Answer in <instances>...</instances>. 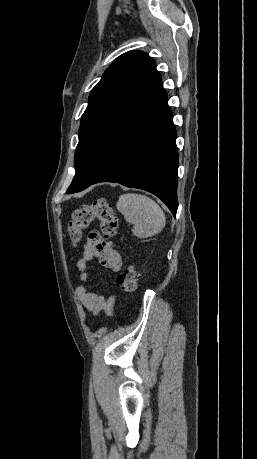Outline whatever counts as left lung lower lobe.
I'll return each mask as SVG.
<instances>
[{"mask_svg": "<svg viewBox=\"0 0 257 459\" xmlns=\"http://www.w3.org/2000/svg\"><path fill=\"white\" fill-rule=\"evenodd\" d=\"M176 130L158 73L105 141L101 168L91 183L117 182L159 197L175 216Z\"/></svg>", "mask_w": 257, "mask_h": 459, "instance_id": "1", "label": "left lung lower lobe"}]
</instances>
